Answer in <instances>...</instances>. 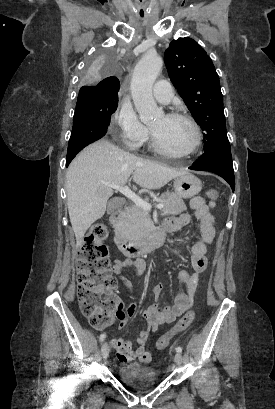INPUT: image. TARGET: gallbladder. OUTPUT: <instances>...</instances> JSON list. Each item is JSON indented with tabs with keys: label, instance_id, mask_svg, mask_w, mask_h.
Here are the masks:
<instances>
[{
	"label": "gallbladder",
	"instance_id": "1",
	"mask_svg": "<svg viewBox=\"0 0 275 409\" xmlns=\"http://www.w3.org/2000/svg\"><path fill=\"white\" fill-rule=\"evenodd\" d=\"M115 198H112V200H109L108 202V207H107V213L108 215H110V213H113V211H115V209H117L116 205H115Z\"/></svg>",
	"mask_w": 275,
	"mask_h": 409
}]
</instances>
